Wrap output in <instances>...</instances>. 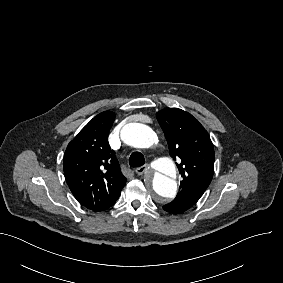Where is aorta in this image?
I'll list each match as a JSON object with an SVG mask.
<instances>
[{"mask_svg":"<svg viewBox=\"0 0 283 283\" xmlns=\"http://www.w3.org/2000/svg\"><path fill=\"white\" fill-rule=\"evenodd\" d=\"M122 140L135 148H149L156 141L155 132L145 124L129 123L121 130ZM154 167L156 172L148 185L159 198H174L177 193V183L172 176L175 175V165L171 158H159Z\"/></svg>","mask_w":283,"mask_h":283,"instance_id":"1","label":"aorta"}]
</instances>
